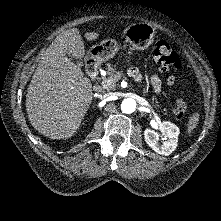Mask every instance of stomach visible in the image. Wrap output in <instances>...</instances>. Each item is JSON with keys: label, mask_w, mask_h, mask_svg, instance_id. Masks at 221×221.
Wrapping results in <instances>:
<instances>
[{"label": "stomach", "mask_w": 221, "mask_h": 221, "mask_svg": "<svg viewBox=\"0 0 221 221\" xmlns=\"http://www.w3.org/2000/svg\"><path fill=\"white\" fill-rule=\"evenodd\" d=\"M127 34V39L134 49L144 50L153 42L155 30L149 24L139 23L130 26ZM117 50V42L108 39L92 46L89 53L97 61L103 62L112 58Z\"/></svg>", "instance_id": "0dacf381"}]
</instances>
